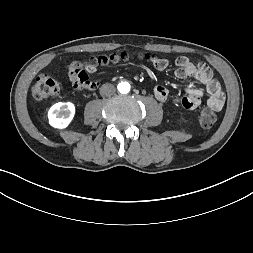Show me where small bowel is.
<instances>
[{
  "label": "small bowel",
  "instance_id": "c3829d8e",
  "mask_svg": "<svg viewBox=\"0 0 253 253\" xmlns=\"http://www.w3.org/2000/svg\"><path fill=\"white\" fill-rule=\"evenodd\" d=\"M173 65V60L167 58L165 60H153L151 67L156 71H161L164 68L170 69ZM176 65L178 66L176 70L177 77H191L202 83L209 94L208 105L216 111L223 108L225 102L224 92L219 82L214 78L212 71L205 64H195L186 57H180L177 59ZM203 95L201 89L188 86L185 89V94L175 101L180 103L181 108L184 110L194 109L200 104ZM154 96L158 101L164 102L169 96L168 89L158 85L154 88Z\"/></svg>",
  "mask_w": 253,
  "mask_h": 253
}]
</instances>
